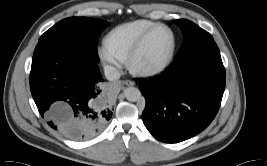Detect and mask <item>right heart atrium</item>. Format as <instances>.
I'll list each match as a JSON object with an SVG mask.
<instances>
[{"label": "right heart atrium", "instance_id": "1", "mask_svg": "<svg viewBox=\"0 0 267 166\" xmlns=\"http://www.w3.org/2000/svg\"><path fill=\"white\" fill-rule=\"evenodd\" d=\"M99 57L102 62L112 70L119 67L122 61L107 42L99 49Z\"/></svg>", "mask_w": 267, "mask_h": 166}]
</instances>
